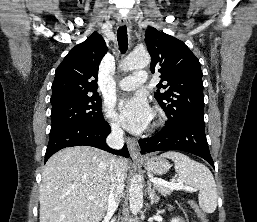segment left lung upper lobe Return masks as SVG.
Instances as JSON below:
<instances>
[{
	"label": "left lung upper lobe",
	"instance_id": "1",
	"mask_svg": "<svg viewBox=\"0 0 257 222\" xmlns=\"http://www.w3.org/2000/svg\"><path fill=\"white\" fill-rule=\"evenodd\" d=\"M151 55V72L161 81L154 97L169 124L186 119L204 120L202 71L199 60L180 40L151 27L145 34ZM166 89L160 92L159 89Z\"/></svg>",
	"mask_w": 257,
	"mask_h": 222
}]
</instances>
